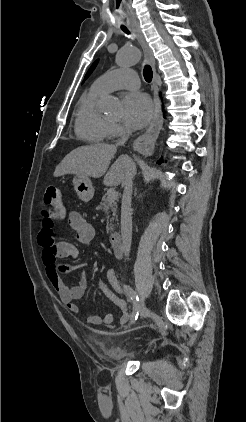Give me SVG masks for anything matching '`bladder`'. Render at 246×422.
<instances>
[{
    "mask_svg": "<svg viewBox=\"0 0 246 422\" xmlns=\"http://www.w3.org/2000/svg\"><path fill=\"white\" fill-rule=\"evenodd\" d=\"M106 350H107L106 352L108 353V352H109V351H108L109 349H106ZM108 354H109V356H111V357L113 356V355H112V354H110V353H108Z\"/></svg>",
    "mask_w": 246,
    "mask_h": 422,
    "instance_id": "obj_1",
    "label": "bladder"
}]
</instances>
